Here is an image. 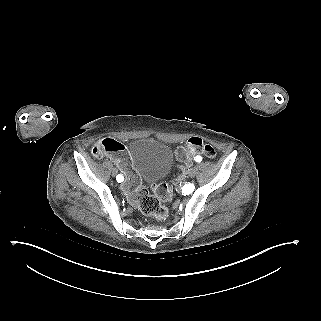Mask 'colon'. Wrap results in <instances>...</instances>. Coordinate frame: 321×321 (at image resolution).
<instances>
[{
	"label": "colon",
	"instance_id": "1",
	"mask_svg": "<svg viewBox=\"0 0 321 321\" xmlns=\"http://www.w3.org/2000/svg\"><path fill=\"white\" fill-rule=\"evenodd\" d=\"M93 156L99 158L109 156L124 176L121 184L122 191L131 204L137 207L144 215L159 220L168 215L167 208L161 201H167L172 196V185L162 182L153 187L154 194L142 187L139 174L133 167L127 148L122 143L112 138H105L92 147ZM214 148L203 142L199 137L189 138L176 150L177 159L183 164H188L195 156L215 157Z\"/></svg>",
	"mask_w": 321,
	"mask_h": 321
}]
</instances>
